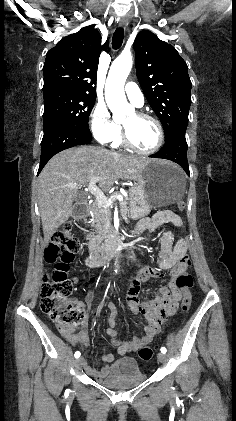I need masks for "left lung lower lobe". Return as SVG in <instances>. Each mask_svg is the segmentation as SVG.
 <instances>
[{"mask_svg": "<svg viewBox=\"0 0 236 421\" xmlns=\"http://www.w3.org/2000/svg\"><path fill=\"white\" fill-rule=\"evenodd\" d=\"M186 129L180 128L165 137V145L162 149L150 157L168 159L179 164L190 176L187 160Z\"/></svg>", "mask_w": 236, "mask_h": 421, "instance_id": "left-lung-lower-lobe-1", "label": "left lung lower lobe"}]
</instances>
